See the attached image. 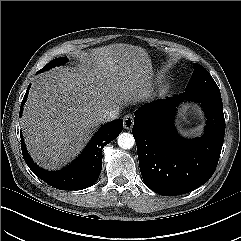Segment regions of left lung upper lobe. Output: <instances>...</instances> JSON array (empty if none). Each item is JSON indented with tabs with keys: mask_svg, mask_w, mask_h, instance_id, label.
<instances>
[{
	"mask_svg": "<svg viewBox=\"0 0 241 241\" xmlns=\"http://www.w3.org/2000/svg\"><path fill=\"white\" fill-rule=\"evenodd\" d=\"M192 90L220 91L209 72L197 63H194V72L185 89V91Z\"/></svg>",
	"mask_w": 241,
	"mask_h": 241,
	"instance_id": "obj_1",
	"label": "left lung upper lobe"
}]
</instances>
